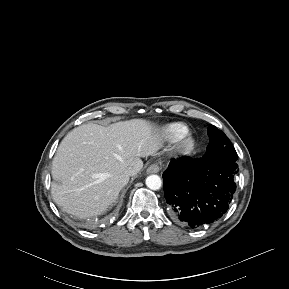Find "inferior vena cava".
I'll list each match as a JSON object with an SVG mask.
<instances>
[{
	"label": "inferior vena cava",
	"instance_id": "inferior-vena-cava-1",
	"mask_svg": "<svg viewBox=\"0 0 289 289\" xmlns=\"http://www.w3.org/2000/svg\"><path fill=\"white\" fill-rule=\"evenodd\" d=\"M124 174L125 176L130 177L134 174V170L131 167H129L124 171Z\"/></svg>",
	"mask_w": 289,
	"mask_h": 289
}]
</instances>
